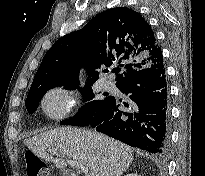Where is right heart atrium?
<instances>
[{
    "label": "right heart atrium",
    "mask_w": 205,
    "mask_h": 176,
    "mask_svg": "<svg viewBox=\"0 0 205 176\" xmlns=\"http://www.w3.org/2000/svg\"><path fill=\"white\" fill-rule=\"evenodd\" d=\"M76 98L66 89L57 87L49 90L41 101L43 112L52 119L59 120L69 115Z\"/></svg>",
    "instance_id": "1"
}]
</instances>
